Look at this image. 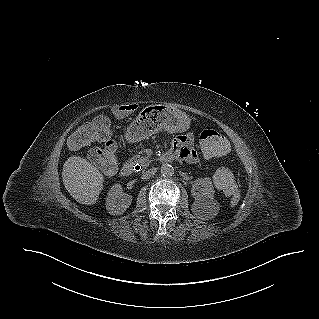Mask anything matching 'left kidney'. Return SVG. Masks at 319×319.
<instances>
[{
	"instance_id": "5707ae66",
	"label": "left kidney",
	"mask_w": 319,
	"mask_h": 319,
	"mask_svg": "<svg viewBox=\"0 0 319 319\" xmlns=\"http://www.w3.org/2000/svg\"><path fill=\"white\" fill-rule=\"evenodd\" d=\"M214 192V187L210 178H200L194 181L191 193L195 199V205L202 209L204 216L208 215V211L212 208V215H216L218 212L219 207L217 202L214 200Z\"/></svg>"
}]
</instances>
